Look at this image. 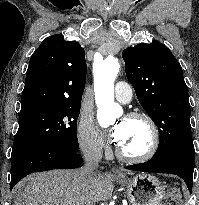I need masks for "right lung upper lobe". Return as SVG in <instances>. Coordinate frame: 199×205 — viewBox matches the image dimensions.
Instances as JSON below:
<instances>
[{
    "label": "right lung upper lobe",
    "mask_w": 199,
    "mask_h": 205,
    "mask_svg": "<svg viewBox=\"0 0 199 205\" xmlns=\"http://www.w3.org/2000/svg\"><path fill=\"white\" fill-rule=\"evenodd\" d=\"M85 81L84 49L62 34L52 35L31 56L21 111L42 105L81 104Z\"/></svg>",
    "instance_id": "cb5924a9"
}]
</instances>
